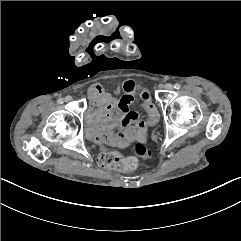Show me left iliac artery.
<instances>
[{"instance_id":"1","label":"left iliac artery","mask_w":241,"mask_h":241,"mask_svg":"<svg viewBox=\"0 0 241 241\" xmlns=\"http://www.w3.org/2000/svg\"><path fill=\"white\" fill-rule=\"evenodd\" d=\"M180 87H181V85H180L179 83H176V84L174 85V88H175V89H180Z\"/></svg>"}]
</instances>
